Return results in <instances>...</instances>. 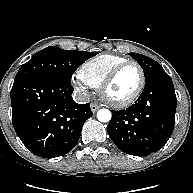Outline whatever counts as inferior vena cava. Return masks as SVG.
Instances as JSON below:
<instances>
[{"label":"inferior vena cava","mask_w":193,"mask_h":193,"mask_svg":"<svg viewBox=\"0 0 193 193\" xmlns=\"http://www.w3.org/2000/svg\"><path fill=\"white\" fill-rule=\"evenodd\" d=\"M89 98V94L82 90H78L73 93V99L77 103H87Z\"/></svg>","instance_id":"1"}]
</instances>
